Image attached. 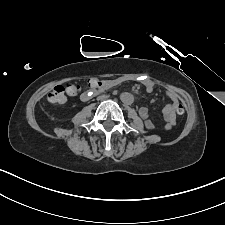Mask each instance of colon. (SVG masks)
<instances>
[{
  "label": "colon",
  "mask_w": 225,
  "mask_h": 225,
  "mask_svg": "<svg viewBox=\"0 0 225 225\" xmlns=\"http://www.w3.org/2000/svg\"><path fill=\"white\" fill-rule=\"evenodd\" d=\"M95 84L94 81L89 80L87 83L88 87ZM81 91V86L78 83L67 82L63 85L56 86L48 95L47 99L50 103L61 104L66 100V95L76 96ZM176 113L182 115L184 113V106L182 104L178 105L176 108Z\"/></svg>",
  "instance_id": "obj_1"
}]
</instances>
